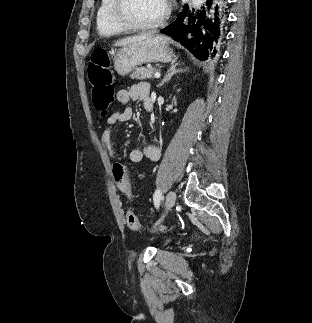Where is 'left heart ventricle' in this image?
Listing matches in <instances>:
<instances>
[{"label": "left heart ventricle", "mask_w": 312, "mask_h": 323, "mask_svg": "<svg viewBox=\"0 0 312 323\" xmlns=\"http://www.w3.org/2000/svg\"><path fill=\"white\" fill-rule=\"evenodd\" d=\"M121 14L128 18H135L136 22H151L152 18H159L164 9L163 0H120Z\"/></svg>", "instance_id": "left-heart-ventricle-1"}]
</instances>
